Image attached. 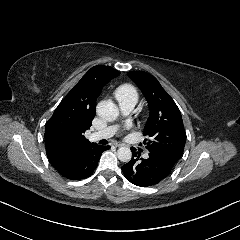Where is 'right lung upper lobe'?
<instances>
[{"mask_svg":"<svg viewBox=\"0 0 240 240\" xmlns=\"http://www.w3.org/2000/svg\"><path fill=\"white\" fill-rule=\"evenodd\" d=\"M119 74L108 66H94L70 90L46 125L44 136L48 158L76 154L97 145L90 143L84 132L92 124L96 99L102 88Z\"/></svg>","mask_w":240,"mask_h":240,"instance_id":"right-lung-upper-lobe-1","label":"right lung upper lobe"}]
</instances>
